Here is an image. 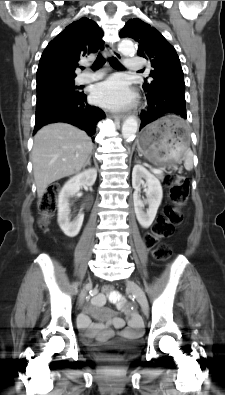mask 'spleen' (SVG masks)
Segmentation results:
<instances>
[{"mask_svg":"<svg viewBox=\"0 0 225 395\" xmlns=\"http://www.w3.org/2000/svg\"><path fill=\"white\" fill-rule=\"evenodd\" d=\"M184 166L187 170H191L193 168V153L190 149H188L185 154Z\"/></svg>","mask_w":225,"mask_h":395,"instance_id":"spleen-1","label":"spleen"}]
</instances>
